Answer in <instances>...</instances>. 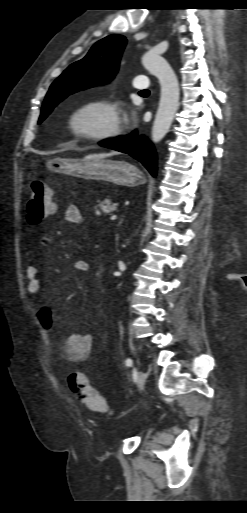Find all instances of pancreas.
I'll return each instance as SVG.
<instances>
[{
    "mask_svg": "<svg viewBox=\"0 0 247 513\" xmlns=\"http://www.w3.org/2000/svg\"><path fill=\"white\" fill-rule=\"evenodd\" d=\"M98 207L99 209L96 210L97 216H106L117 209V204L111 203V200L106 198L104 201L98 204Z\"/></svg>",
    "mask_w": 247,
    "mask_h": 513,
    "instance_id": "pancreas-1",
    "label": "pancreas"
}]
</instances>
